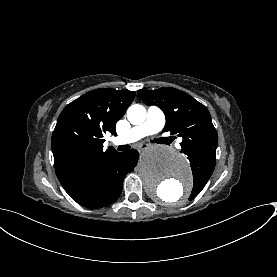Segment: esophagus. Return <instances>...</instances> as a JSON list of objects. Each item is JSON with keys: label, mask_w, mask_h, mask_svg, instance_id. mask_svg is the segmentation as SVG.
I'll return each instance as SVG.
<instances>
[{"label": "esophagus", "mask_w": 277, "mask_h": 277, "mask_svg": "<svg viewBox=\"0 0 277 277\" xmlns=\"http://www.w3.org/2000/svg\"><path fill=\"white\" fill-rule=\"evenodd\" d=\"M138 149H139V151H142V150L144 149V146H143V145H140V146L138 147Z\"/></svg>", "instance_id": "obj_1"}]
</instances>
